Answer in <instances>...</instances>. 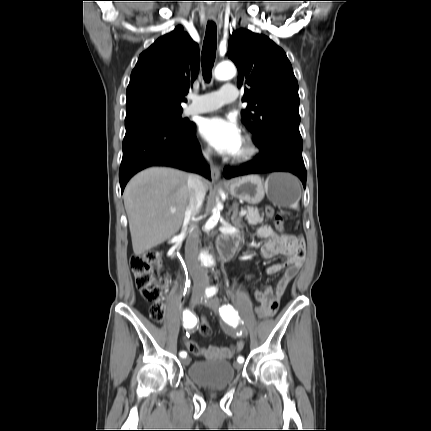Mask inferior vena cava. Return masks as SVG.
Segmentation results:
<instances>
[{"mask_svg": "<svg viewBox=\"0 0 431 431\" xmlns=\"http://www.w3.org/2000/svg\"><path fill=\"white\" fill-rule=\"evenodd\" d=\"M203 155L207 161H210L209 151L204 152ZM188 191L189 202L186 206L184 222L187 224L190 223V232L186 240L185 255L186 259L190 263L189 270L194 282L193 290L195 292H203L207 281V274L197 264L199 235L195 226V217L203 204L206 194L201 176L196 174L189 175Z\"/></svg>", "mask_w": 431, "mask_h": 431, "instance_id": "1", "label": "inferior vena cava"}]
</instances>
